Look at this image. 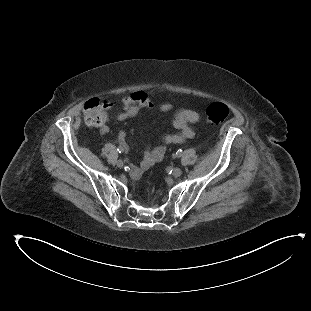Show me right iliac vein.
I'll return each instance as SVG.
<instances>
[{
  "mask_svg": "<svg viewBox=\"0 0 311 311\" xmlns=\"http://www.w3.org/2000/svg\"><path fill=\"white\" fill-rule=\"evenodd\" d=\"M117 166H118L119 168H122V167L124 166L123 161H122V160H118V161H117Z\"/></svg>",
  "mask_w": 311,
  "mask_h": 311,
  "instance_id": "obj_1",
  "label": "right iliac vein"
}]
</instances>
